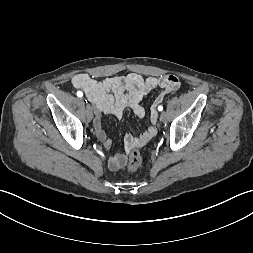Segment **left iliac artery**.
<instances>
[{
	"mask_svg": "<svg viewBox=\"0 0 253 253\" xmlns=\"http://www.w3.org/2000/svg\"><path fill=\"white\" fill-rule=\"evenodd\" d=\"M158 110H159V111H162V110H163V106L160 105V106L158 107Z\"/></svg>",
	"mask_w": 253,
	"mask_h": 253,
	"instance_id": "44dca946",
	"label": "left iliac artery"
}]
</instances>
